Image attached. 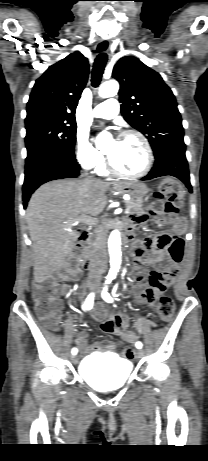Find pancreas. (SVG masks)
Returning <instances> with one entry per match:
<instances>
[{"mask_svg": "<svg viewBox=\"0 0 208 461\" xmlns=\"http://www.w3.org/2000/svg\"><path fill=\"white\" fill-rule=\"evenodd\" d=\"M125 205H126V208L130 211V212H135V211H139L141 210L142 208V205H143V199H131L129 201H125ZM95 245H96V242H93L91 244L92 246V249L93 251L95 250Z\"/></svg>", "mask_w": 208, "mask_h": 461, "instance_id": "1", "label": "pancreas"}]
</instances>
